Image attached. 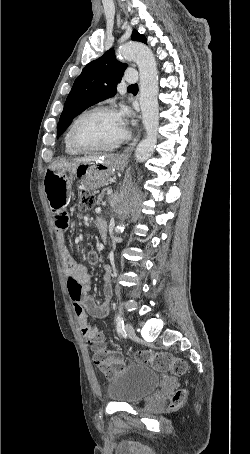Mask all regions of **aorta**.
Listing matches in <instances>:
<instances>
[{
    "label": "aorta",
    "mask_w": 250,
    "mask_h": 454,
    "mask_svg": "<svg viewBox=\"0 0 250 454\" xmlns=\"http://www.w3.org/2000/svg\"><path fill=\"white\" fill-rule=\"evenodd\" d=\"M118 55L134 61L139 69V102L146 136L137 145L135 158L138 162H144L151 157L157 144L159 128L157 65L152 51L139 42L130 41L121 45L118 49ZM124 228V224L118 225L116 228L117 234L122 233Z\"/></svg>",
    "instance_id": "obj_1"
}]
</instances>
